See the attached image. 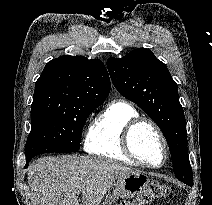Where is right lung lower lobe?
<instances>
[{"label": "right lung lower lobe", "instance_id": "1", "mask_svg": "<svg viewBox=\"0 0 212 205\" xmlns=\"http://www.w3.org/2000/svg\"><path fill=\"white\" fill-rule=\"evenodd\" d=\"M30 161H31V159H26V163H27V164H28ZM27 164H26L25 168L28 166Z\"/></svg>", "mask_w": 212, "mask_h": 205}]
</instances>
